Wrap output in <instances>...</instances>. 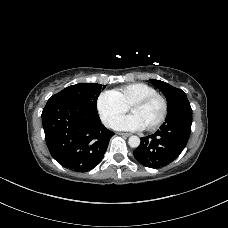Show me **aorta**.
Returning <instances> with one entry per match:
<instances>
[{"instance_id": "obj_1", "label": "aorta", "mask_w": 228, "mask_h": 228, "mask_svg": "<svg viewBox=\"0 0 228 228\" xmlns=\"http://www.w3.org/2000/svg\"><path fill=\"white\" fill-rule=\"evenodd\" d=\"M128 144L132 148H137L140 145V138L138 136L129 137Z\"/></svg>"}]
</instances>
